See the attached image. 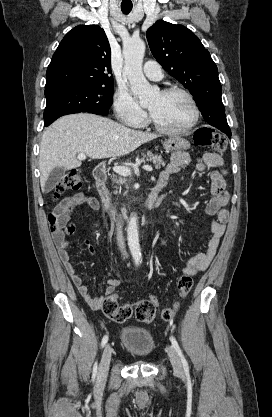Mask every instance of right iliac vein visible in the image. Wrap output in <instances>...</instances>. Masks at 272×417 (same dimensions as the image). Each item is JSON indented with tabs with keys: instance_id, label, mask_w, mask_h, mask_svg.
I'll return each mask as SVG.
<instances>
[{
	"instance_id": "63e3f726",
	"label": "right iliac vein",
	"mask_w": 272,
	"mask_h": 417,
	"mask_svg": "<svg viewBox=\"0 0 272 417\" xmlns=\"http://www.w3.org/2000/svg\"><path fill=\"white\" fill-rule=\"evenodd\" d=\"M112 348L110 344H107L104 348L100 366H99V377L104 378L109 370L110 360H111Z\"/></svg>"
}]
</instances>
